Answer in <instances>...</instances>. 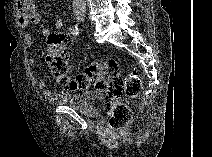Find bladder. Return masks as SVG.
Listing matches in <instances>:
<instances>
[{
	"instance_id": "obj_1",
	"label": "bladder",
	"mask_w": 212,
	"mask_h": 157,
	"mask_svg": "<svg viewBox=\"0 0 212 157\" xmlns=\"http://www.w3.org/2000/svg\"><path fill=\"white\" fill-rule=\"evenodd\" d=\"M105 101V93L98 90L86 89L81 92L71 94L66 105L76 111L93 116L103 110Z\"/></svg>"
}]
</instances>
